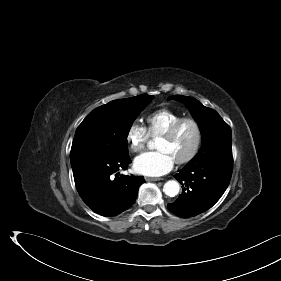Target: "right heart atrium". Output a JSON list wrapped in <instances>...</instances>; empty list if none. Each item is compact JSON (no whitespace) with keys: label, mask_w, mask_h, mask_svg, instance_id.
<instances>
[{"label":"right heart atrium","mask_w":281,"mask_h":281,"mask_svg":"<svg viewBox=\"0 0 281 281\" xmlns=\"http://www.w3.org/2000/svg\"><path fill=\"white\" fill-rule=\"evenodd\" d=\"M150 139V134L145 126L138 122L132 123L126 133V142L134 153L144 150Z\"/></svg>","instance_id":"1"}]
</instances>
